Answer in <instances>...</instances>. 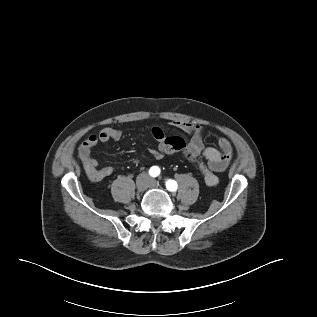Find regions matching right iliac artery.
Masks as SVG:
<instances>
[{
	"label": "right iliac artery",
	"instance_id": "right-iliac-artery-1",
	"mask_svg": "<svg viewBox=\"0 0 317 317\" xmlns=\"http://www.w3.org/2000/svg\"><path fill=\"white\" fill-rule=\"evenodd\" d=\"M160 173V169L157 167V166H153L150 168L149 170V174L152 176V177H156L158 176Z\"/></svg>",
	"mask_w": 317,
	"mask_h": 317
}]
</instances>
